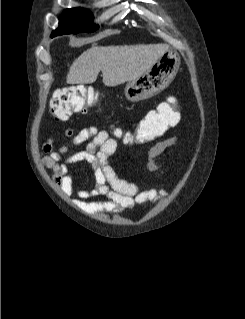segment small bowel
Masks as SVG:
<instances>
[{"instance_id":"1","label":"small bowel","mask_w":245,"mask_h":319,"mask_svg":"<svg viewBox=\"0 0 245 319\" xmlns=\"http://www.w3.org/2000/svg\"><path fill=\"white\" fill-rule=\"evenodd\" d=\"M172 100L174 99H169L159 107L170 104ZM64 137L70 140L68 145L59 146L58 140L53 138L43 144L42 163L52 171L53 182L66 195L76 193L75 204L81 210L88 213L117 214L136 205L155 203L164 196L165 192L162 189L140 190L136 183L118 176L108 161L109 157L117 151L118 141L107 131L99 130L94 126L86 127L79 132L67 128L64 131ZM176 142V137H169L150 147L146 162L150 172L158 177L163 175L156 163V158L166 149L174 146ZM84 144H86L84 149L72 150ZM76 163L89 165L95 178V186L92 191L74 187V178L69 172V166ZM94 196H103L105 200L86 201Z\"/></svg>"}]
</instances>
